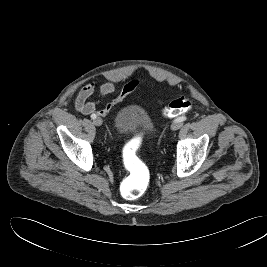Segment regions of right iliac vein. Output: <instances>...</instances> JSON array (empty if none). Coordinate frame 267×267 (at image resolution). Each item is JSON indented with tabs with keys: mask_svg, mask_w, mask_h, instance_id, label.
<instances>
[{
	"mask_svg": "<svg viewBox=\"0 0 267 267\" xmlns=\"http://www.w3.org/2000/svg\"><path fill=\"white\" fill-rule=\"evenodd\" d=\"M93 123H94V125H96V126H101L102 123H103V121H102V119H101L100 117H97V118H95V119L93 120Z\"/></svg>",
	"mask_w": 267,
	"mask_h": 267,
	"instance_id": "1",
	"label": "right iliac vein"
}]
</instances>
